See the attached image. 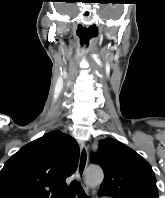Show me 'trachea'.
I'll use <instances>...</instances> for the list:
<instances>
[{"label": "trachea", "instance_id": "trachea-1", "mask_svg": "<svg viewBox=\"0 0 165 198\" xmlns=\"http://www.w3.org/2000/svg\"><path fill=\"white\" fill-rule=\"evenodd\" d=\"M76 193L78 198H88L82 187L76 182H73L69 188H67L61 195L56 196V198H74Z\"/></svg>", "mask_w": 165, "mask_h": 198}]
</instances>
